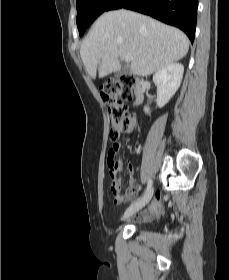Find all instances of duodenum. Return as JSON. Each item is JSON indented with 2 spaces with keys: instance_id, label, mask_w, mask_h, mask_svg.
Listing matches in <instances>:
<instances>
[{
  "instance_id": "1",
  "label": "duodenum",
  "mask_w": 229,
  "mask_h": 280,
  "mask_svg": "<svg viewBox=\"0 0 229 280\" xmlns=\"http://www.w3.org/2000/svg\"><path fill=\"white\" fill-rule=\"evenodd\" d=\"M144 92H145L144 88L138 79V82H137L136 88H135V105L142 103V101L144 99Z\"/></svg>"
}]
</instances>
